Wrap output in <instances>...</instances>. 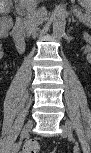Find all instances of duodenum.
Wrapping results in <instances>:
<instances>
[{
    "mask_svg": "<svg viewBox=\"0 0 91 153\" xmlns=\"http://www.w3.org/2000/svg\"><path fill=\"white\" fill-rule=\"evenodd\" d=\"M24 11L25 9L19 10V14L16 17L15 24L12 28V38L19 53H24L27 48V41L24 35L25 23L22 17V12Z\"/></svg>",
    "mask_w": 91,
    "mask_h": 153,
    "instance_id": "410a0bca",
    "label": "duodenum"
}]
</instances>
